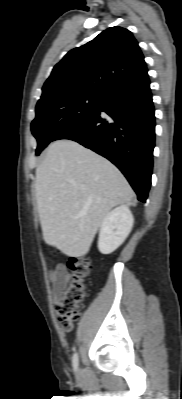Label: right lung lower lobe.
<instances>
[{
  "mask_svg": "<svg viewBox=\"0 0 182 399\" xmlns=\"http://www.w3.org/2000/svg\"><path fill=\"white\" fill-rule=\"evenodd\" d=\"M149 78L108 92L99 110L53 138L70 139L104 156L125 175L138 200L151 185L155 116Z\"/></svg>",
  "mask_w": 182,
  "mask_h": 399,
  "instance_id": "right-lung-lower-lobe-1",
  "label": "right lung lower lobe"
}]
</instances>
